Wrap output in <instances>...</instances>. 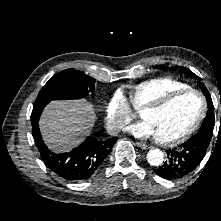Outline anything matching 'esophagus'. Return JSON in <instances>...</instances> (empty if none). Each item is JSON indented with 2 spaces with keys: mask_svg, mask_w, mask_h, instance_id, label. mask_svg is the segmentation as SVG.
Listing matches in <instances>:
<instances>
[{
  "mask_svg": "<svg viewBox=\"0 0 221 221\" xmlns=\"http://www.w3.org/2000/svg\"><path fill=\"white\" fill-rule=\"evenodd\" d=\"M136 145H137L138 147H140L141 149H144V150L150 148L146 143H143V142H136Z\"/></svg>",
  "mask_w": 221,
  "mask_h": 221,
  "instance_id": "obj_1",
  "label": "esophagus"
}]
</instances>
